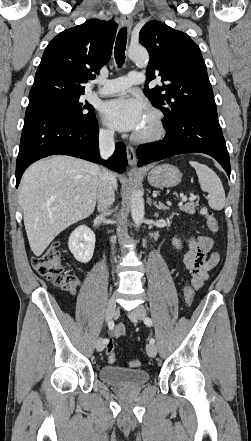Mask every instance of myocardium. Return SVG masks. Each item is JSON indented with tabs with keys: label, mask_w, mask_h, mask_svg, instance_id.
<instances>
[{
	"label": "myocardium",
	"mask_w": 251,
	"mask_h": 441,
	"mask_svg": "<svg viewBox=\"0 0 251 441\" xmlns=\"http://www.w3.org/2000/svg\"><path fill=\"white\" fill-rule=\"evenodd\" d=\"M148 115L152 120V129L145 134H135L133 139L140 143H152L161 140L166 134V126L161 111L155 108L148 110Z\"/></svg>",
	"instance_id": "obj_1"
}]
</instances>
